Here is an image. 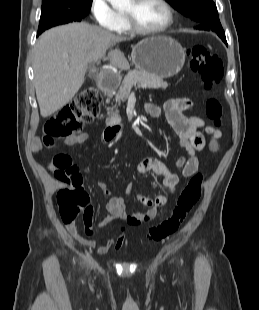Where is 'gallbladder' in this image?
<instances>
[{
    "label": "gallbladder",
    "instance_id": "1",
    "mask_svg": "<svg viewBox=\"0 0 259 310\" xmlns=\"http://www.w3.org/2000/svg\"><path fill=\"white\" fill-rule=\"evenodd\" d=\"M89 77L94 80L95 79V76L93 74H90Z\"/></svg>",
    "mask_w": 259,
    "mask_h": 310
}]
</instances>
